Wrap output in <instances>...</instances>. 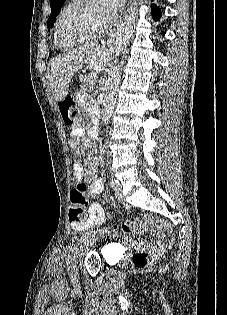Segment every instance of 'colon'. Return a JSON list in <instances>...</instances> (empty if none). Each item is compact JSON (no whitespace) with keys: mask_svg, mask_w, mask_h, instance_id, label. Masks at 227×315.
<instances>
[{"mask_svg":"<svg viewBox=\"0 0 227 315\" xmlns=\"http://www.w3.org/2000/svg\"><path fill=\"white\" fill-rule=\"evenodd\" d=\"M59 108L65 124L72 125L77 117V107L70 97H66L59 103ZM86 186L78 182L70 192L69 219L73 222H85L88 217V201L85 196ZM158 222L156 217L149 215L144 218H130L123 222L119 221L120 227L110 225L100 230L102 236L113 237L120 229L127 235H138L146 232L151 225ZM133 264L138 268L150 266L154 257L145 251H138L133 254Z\"/></svg>","mask_w":227,"mask_h":315,"instance_id":"1","label":"colon"}]
</instances>
